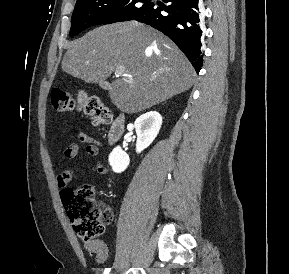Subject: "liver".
<instances>
[{
	"instance_id": "obj_1",
	"label": "liver",
	"mask_w": 289,
	"mask_h": 274,
	"mask_svg": "<svg viewBox=\"0 0 289 274\" xmlns=\"http://www.w3.org/2000/svg\"><path fill=\"white\" fill-rule=\"evenodd\" d=\"M119 66L124 75L109 86L112 103L125 113L149 109L190 89L195 71L162 33L136 21L103 25L72 41L62 70L101 83Z\"/></svg>"
}]
</instances>
